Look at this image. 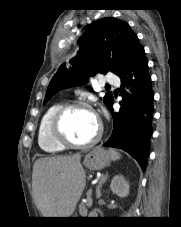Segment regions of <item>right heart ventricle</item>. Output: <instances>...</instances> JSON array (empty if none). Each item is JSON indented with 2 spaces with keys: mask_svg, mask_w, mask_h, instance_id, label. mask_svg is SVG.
<instances>
[{
  "mask_svg": "<svg viewBox=\"0 0 181 227\" xmlns=\"http://www.w3.org/2000/svg\"><path fill=\"white\" fill-rule=\"evenodd\" d=\"M62 106L61 103L52 104L43 114L38 129V145L46 153L57 154L65 150V146L58 143L52 136L50 125L56 111Z\"/></svg>",
  "mask_w": 181,
  "mask_h": 227,
  "instance_id": "e07e8e85",
  "label": "right heart ventricle"
}]
</instances>
